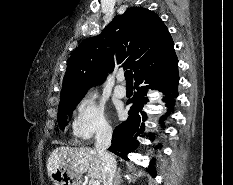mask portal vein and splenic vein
I'll list each match as a JSON object with an SVG mask.
<instances>
[{
    "label": "portal vein and splenic vein",
    "instance_id": "portal-vein-and-splenic-vein-1",
    "mask_svg": "<svg viewBox=\"0 0 233 185\" xmlns=\"http://www.w3.org/2000/svg\"><path fill=\"white\" fill-rule=\"evenodd\" d=\"M91 185H100V181L94 180V181H92Z\"/></svg>",
    "mask_w": 233,
    "mask_h": 185
}]
</instances>
